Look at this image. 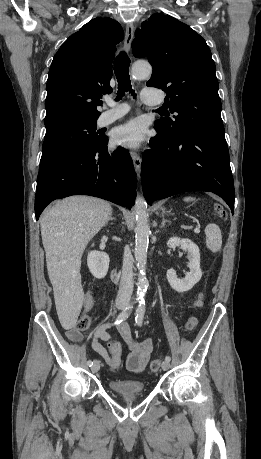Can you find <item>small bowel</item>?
Segmentation results:
<instances>
[{
    "label": "small bowel",
    "instance_id": "1",
    "mask_svg": "<svg viewBox=\"0 0 261 459\" xmlns=\"http://www.w3.org/2000/svg\"><path fill=\"white\" fill-rule=\"evenodd\" d=\"M94 305V294L89 289L83 300V312H89ZM116 327L121 338L128 345L130 352L126 358L127 369L134 373H140L147 367L151 352L153 350V342L150 338L142 341H136L127 322L122 321L119 324L114 322H107L96 328L92 334L91 346L93 350L98 353L105 362L110 366L113 361V356H110L100 341H108L112 338L108 332L110 328ZM68 338L74 342H80L82 335L79 331L72 329L68 332Z\"/></svg>",
    "mask_w": 261,
    "mask_h": 459
}]
</instances>
